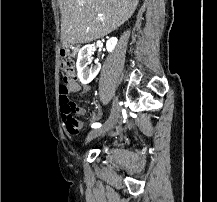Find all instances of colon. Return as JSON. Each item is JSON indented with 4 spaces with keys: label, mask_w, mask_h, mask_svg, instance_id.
<instances>
[{
    "label": "colon",
    "mask_w": 217,
    "mask_h": 202,
    "mask_svg": "<svg viewBox=\"0 0 217 202\" xmlns=\"http://www.w3.org/2000/svg\"><path fill=\"white\" fill-rule=\"evenodd\" d=\"M70 51V47H63L62 50H59V55H63L64 63L61 64L63 73H57V78H73V64L71 63V59H68ZM59 86L61 97H58L57 101L62 102L61 110L64 111L62 112V117H65V120H62V125H66L70 134H80L81 127L78 120L74 116L76 105L70 96L72 83L60 82Z\"/></svg>",
    "instance_id": "5ec220e1"
}]
</instances>
